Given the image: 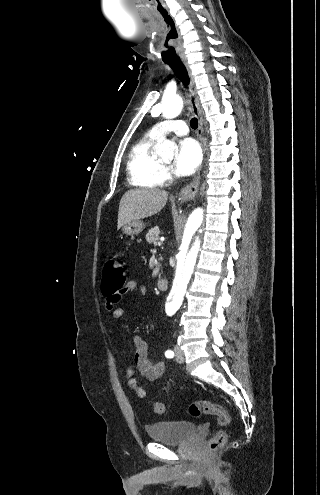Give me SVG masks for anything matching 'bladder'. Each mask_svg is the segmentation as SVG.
Here are the masks:
<instances>
[{"instance_id": "obj_1", "label": "bladder", "mask_w": 320, "mask_h": 495, "mask_svg": "<svg viewBox=\"0 0 320 495\" xmlns=\"http://www.w3.org/2000/svg\"><path fill=\"white\" fill-rule=\"evenodd\" d=\"M146 431L154 441L177 445L196 432V424L191 421H159L147 425Z\"/></svg>"}]
</instances>
